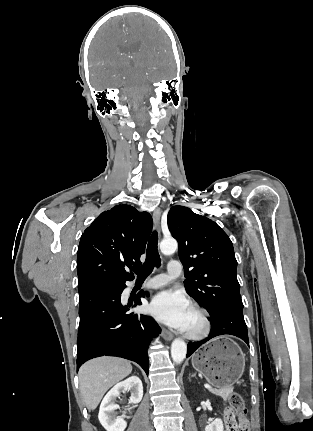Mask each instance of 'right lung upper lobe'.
Wrapping results in <instances>:
<instances>
[{
	"instance_id": "right-lung-upper-lobe-1",
	"label": "right lung upper lobe",
	"mask_w": 313,
	"mask_h": 431,
	"mask_svg": "<svg viewBox=\"0 0 313 431\" xmlns=\"http://www.w3.org/2000/svg\"><path fill=\"white\" fill-rule=\"evenodd\" d=\"M152 217L130 205L101 213L84 231L77 253L78 289L134 278L126 268L139 265L152 229Z\"/></svg>"
}]
</instances>
